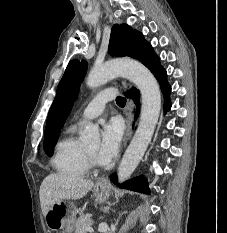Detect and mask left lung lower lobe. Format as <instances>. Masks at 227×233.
I'll return each instance as SVG.
<instances>
[{
    "label": "left lung lower lobe",
    "instance_id": "left-lung-lower-lobe-1",
    "mask_svg": "<svg viewBox=\"0 0 227 233\" xmlns=\"http://www.w3.org/2000/svg\"><path fill=\"white\" fill-rule=\"evenodd\" d=\"M155 77L157 78V80L160 83L161 86V90L164 94V112L166 113L167 111L170 110L171 108V103H170V99H169V95L171 92V87L167 82V72L164 68H162L156 75ZM126 97H131L133 98V100L136 102V104L139 101V96L140 93L138 90L136 89H131L129 91H127L125 93ZM111 180L113 183L116 184L117 181V175L116 174H112L110 176ZM119 187L124 188V189H129L132 191H137V192H141L144 194H149V187H148V183L146 181V179L144 177H138L129 181L124 182L123 184L119 185Z\"/></svg>",
    "mask_w": 227,
    "mask_h": 233
}]
</instances>
